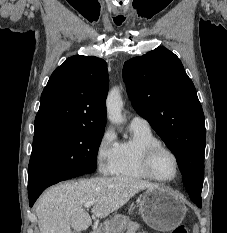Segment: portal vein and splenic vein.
I'll list each match as a JSON object with an SVG mask.
<instances>
[{
  "label": "portal vein and splenic vein",
  "mask_w": 227,
  "mask_h": 233,
  "mask_svg": "<svg viewBox=\"0 0 227 233\" xmlns=\"http://www.w3.org/2000/svg\"><path fill=\"white\" fill-rule=\"evenodd\" d=\"M96 203V201H89V202H86L85 204H84V207L85 208H90L93 204H95Z\"/></svg>",
  "instance_id": "18ae733b"
}]
</instances>
